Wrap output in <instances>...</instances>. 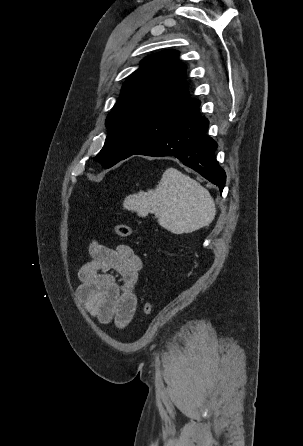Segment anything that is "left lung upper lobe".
<instances>
[{"label": "left lung upper lobe", "mask_w": 303, "mask_h": 446, "mask_svg": "<svg viewBox=\"0 0 303 446\" xmlns=\"http://www.w3.org/2000/svg\"><path fill=\"white\" fill-rule=\"evenodd\" d=\"M177 55L166 50L146 57L123 84L106 119L105 144L94 157L104 168L169 134L198 103L190 97L186 65Z\"/></svg>", "instance_id": "1"}]
</instances>
